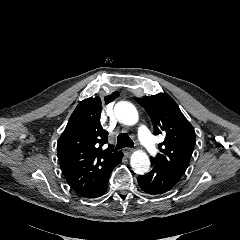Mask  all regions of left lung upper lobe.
Listing matches in <instances>:
<instances>
[{"label": "left lung upper lobe", "instance_id": "obj_1", "mask_svg": "<svg viewBox=\"0 0 240 240\" xmlns=\"http://www.w3.org/2000/svg\"><path fill=\"white\" fill-rule=\"evenodd\" d=\"M148 112L155 135L165 136L159 144L161 153L151 162L161 165L181 179L188 167L196 142L193 126L176 102L166 93L136 98Z\"/></svg>", "mask_w": 240, "mask_h": 240}]
</instances>
